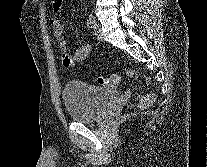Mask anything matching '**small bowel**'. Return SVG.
I'll return each instance as SVG.
<instances>
[{
    "instance_id": "c3829d8e",
    "label": "small bowel",
    "mask_w": 207,
    "mask_h": 167,
    "mask_svg": "<svg viewBox=\"0 0 207 167\" xmlns=\"http://www.w3.org/2000/svg\"><path fill=\"white\" fill-rule=\"evenodd\" d=\"M63 0H52V7L54 15L51 20V26L55 38L58 40V45L60 48V57L64 67L73 68L79 63L85 61L91 53L90 45H83L76 48L73 52L67 49L65 40L62 38L63 35V25L58 16L60 9L62 8Z\"/></svg>"
}]
</instances>
